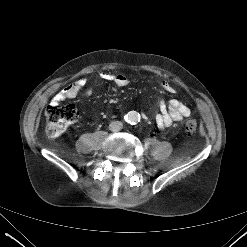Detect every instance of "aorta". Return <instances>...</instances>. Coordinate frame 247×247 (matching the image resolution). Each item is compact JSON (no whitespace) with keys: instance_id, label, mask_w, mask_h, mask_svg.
I'll list each match as a JSON object with an SVG mask.
<instances>
[{"instance_id":"obj_1","label":"aorta","mask_w":247,"mask_h":247,"mask_svg":"<svg viewBox=\"0 0 247 247\" xmlns=\"http://www.w3.org/2000/svg\"><path fill=\"white\" fill-rule=\"evenodd\" d=\"M125 120L129 124H132V125L137 124L140 121V114L136 111H130L126 114Z\"/></svg>"}]
</instances>
